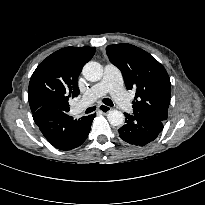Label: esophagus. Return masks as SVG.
<instances>
[{
    "label": "esophagus",
    "mask_w": 205,
    "mask_h": 205,
    "mask_svg": "<svg viewBox=\"0 0 205 205\" xmlns=\"http://www.w3.org/2000/svg\"><path fill=\"white\" fill-rule=\"evenodd\" d=\"M98 110L101 111L102 113H108L111 110V107L105 104H100Z\"/></svg>",
    "instance_id": "34e87169"
}]
</instances>
